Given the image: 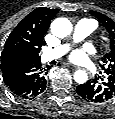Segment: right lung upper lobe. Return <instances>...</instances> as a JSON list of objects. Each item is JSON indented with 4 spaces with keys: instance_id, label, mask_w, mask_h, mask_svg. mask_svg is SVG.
<instances>
[{
    "instance_id": "obj_1",
    "label": "right lung upper lobe",
    "mask_w": 115,
    "mask_h": 119,
    "mask_svg": "<svg viewBox=\"0 0 115 119\" xmlns=\"http://www.w3.org/2000/svg\"><path fill=\"white\" fill-rule=\"evenodd\" d=\"M58 11L46 7L36 8L15 27L1 54V70L40 60L43 35Z\"/></svg>"
}]
</instances>
